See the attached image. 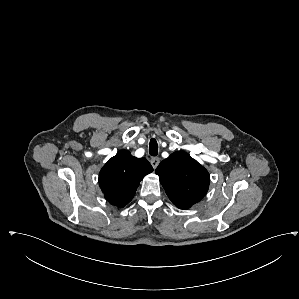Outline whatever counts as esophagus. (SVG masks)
<instances>
[{
  "mask_svg": "<svg viewBox=\"0 0 299 299\" xmlns=\"http://www.w3.org/2000/svg\"><path fill=\"white\" fill-rule=\"evenodd\" d=\"M150 163H151L152 167H153L154 169H156L157 166H158L159 163H160V159H159L158 157H153V158L150 160Z\"/></svg>",
  "mask_w": 299,
  "mask_h": 299,
  "instance_id": "1",
  "label": "esophagus"
}]
</instances>
